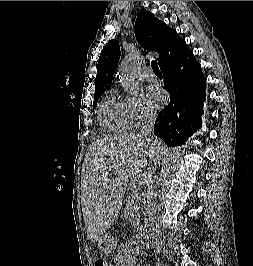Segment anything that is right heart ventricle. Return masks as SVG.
I'll list each match as a JSON object with an SVG mask.
<instances>
[{
  "label": "right heart ventricle",
  "mask_w": 253,
  "mask_h": 266,
  "mask_svg": "<svg viewBox=\"0 0 253 266\" xmlns=\"http://www.w3.org/2000/svg\"><path fill=\"white\" fill-rule=\"evenodd\" d=\"M99 123L104 131L118 134L131 127V121L115 93L111 91L103 100L99 108Z\"/></svg>",
  "instance_id": "right-heart-ventricle-1"
}]
</instances>
